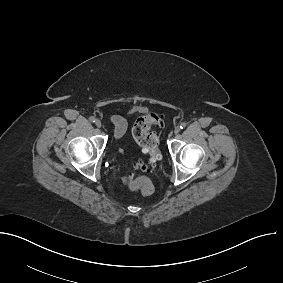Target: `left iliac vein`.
I'll use <instances>...</instances> for the list:
<instances>
[{
  "label": "left iliac vein",
  "mask_w": 283,
  "mask_h": 283,
  "mask_svg": "<svg viewBox=\"0 0 283 283\" xmlns=\"http://www.w3.org/2000/svg\"><path fill=\"white\" fill-rule=\"evenodd\" d=\"M180 132V128L179 127H176L175 129H174V133L175 134H178Z\"/></svg>",
  "instance_id": "left-iliac-vein-1"
}]
</instances>
